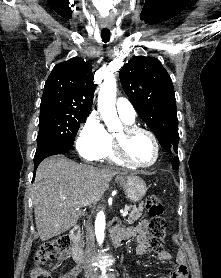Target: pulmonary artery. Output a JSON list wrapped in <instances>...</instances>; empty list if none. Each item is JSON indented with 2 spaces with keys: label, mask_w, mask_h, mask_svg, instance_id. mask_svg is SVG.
I'll use <instances>...</instances> for the list:
<instances>
[{
  "label": "pulmonary artery",
  "mask_w": 221,
  "mask_h": 278,
  "mask_svg": "<svg viewBox=\"0 0 221 278\" xmlns=\"http://www.w3.org/2000/svg\"><path fill=\"white\" fill-rule=\"evenodd\" d=\"M116 109L120 118L127 122H133L136 117V111L133 105L126 98H119L116 101Z\"/></svg>",
  "instance_id": "e3ab8cb5"
}]
</instances>
